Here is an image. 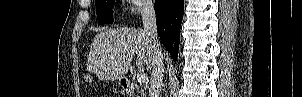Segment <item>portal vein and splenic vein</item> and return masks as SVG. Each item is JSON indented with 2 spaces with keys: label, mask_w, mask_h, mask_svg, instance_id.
<instances>
[{
  "label": "portal vein and splenic vein",
  "mask_w": 302,
  "mask_h": 97,
  "mask_svg": "<svg viewBox=\"0 0 302 97\" xmlns=\"http://www.w3.org/2000/svg\"><path fill=\"white\" fill-rule=\"evenodd\" d=\"M147 80V77L144 73H137V81L139 83H144Z\"/></svg>",
  "instance_id": "18ae733b"
}]
</instances>
